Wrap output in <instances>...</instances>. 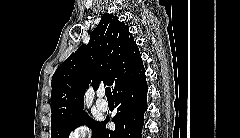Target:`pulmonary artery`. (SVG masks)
<instances>
[{
    "mask_svg": "<svg viewBox=\"0 0 240 138\" xmlns=\"http://www.w3.org/2000/svg\"><path fill=\"white\" fill-rule=\"evenodd\" d=\"M97 96H98V100H97V102H96L97 108H98L100 111H102V112L107 111V109H108V103H107L106 100L103 99V97H104V90L99 89V90L97 91Z\"/></svg>",
    "mask_w": 240,
    "mask_h": 138,
    "instance_id": "e3ab8cb5",
    "label": "pulmonary artery"
}]
</instances>
